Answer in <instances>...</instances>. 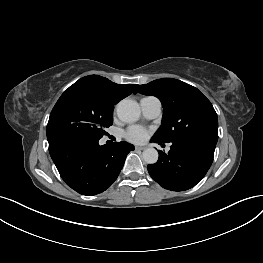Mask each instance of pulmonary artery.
Segmentation results:
<instances>
[{
  "instance_id": "e3ab8cb5",
  "label": "pulmonary artery",
  "mask_w": 263,
  "mask_h": 263,
  "mask_svg": "<svg viewBox=\"0 0 263 263\" xmlns=\"http://www.w3.org/2000/svg\"><path fill=\"white\" fill-rule=\"evenodd\" d=\"M140 107L143 117L146 119H156L161 115L162 105L158 98L147 96L140 100Z\"/></svg>"
}]
</instances>
